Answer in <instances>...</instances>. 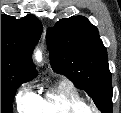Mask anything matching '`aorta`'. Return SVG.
<instances>
[{
    "label": "aorta",
    "instance_id": "obj_1",
    "mask_svg": "<svg viewBox=\"0 0 121 113\" xmlns=\"http://www.w3.org/2000/svg\"><path fill=\"white\" fill-rule=\"evenodd\" d=\"M35 58H36V60H37L38 62L41 61L42 56H41V52H40V51H36V52H35Z\"/></svg>",
    "mask_w": 121,
    "mask_h": 113
}]
</instances>
